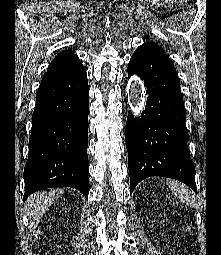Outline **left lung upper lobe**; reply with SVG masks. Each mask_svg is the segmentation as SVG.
<instances>
[{
    "mask_svg": "<svg viewBox=\"0 0 221 255\" xmlns=\"http://www.w3.org/2000/svg\"><path fill=\"white\" fill-rule=\"evenodd\" d=\"M142 46L150 47V48H152V49H154V50L164 54L168 58V56L166 55L165 51L160 46H158L155 43L147 42V43H144Z\"/></svg>",
    "mask_w": 221,
    "mask_h": 255,
    "instance_id": "left-lung-upper-lobe-1",
    "label": "left lung upper lobe"
}]
</instances>
